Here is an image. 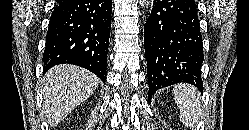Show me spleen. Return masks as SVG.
Here are the masks:
<instances>
[{"mask_svg": "<svg viewBox=\"0 0 249 130\" xmlns=\"http://www.w3.org/2000/svg\"><path fill=\"white\" fill-rule=\"evenodd\" d=\"M174 99L180 109V120L187 127L196 124L202 115L198 90L190 84H177L173 89Z\"/></svg>", "mask_w": 249, "mask_h": 130, "instance_id": "obj_1", "label": "spleen"}]
</instances>
